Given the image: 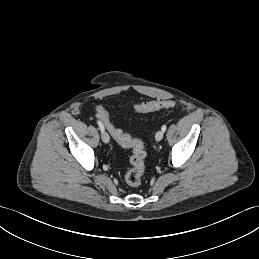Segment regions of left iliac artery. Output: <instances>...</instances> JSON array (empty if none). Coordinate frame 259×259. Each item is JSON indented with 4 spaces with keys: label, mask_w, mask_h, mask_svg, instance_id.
<instances>
[{
    "label": "left iliac artery",
    "mask_w": 259,
    "mask_h": 259,
    "mask_svg": "<svg viewBox=\"0 0 259 259\" xmlns=\"http://www.w3.org/2000/svg\"><path fill=\"white\" fill-rule=\"evenodd\" d=\"M166 128H167V126H166V125H163L161 129H162L163 132H165V131H166Z\"/></svg>",
    "instance_id": "44dca946"
}]
</instances>
